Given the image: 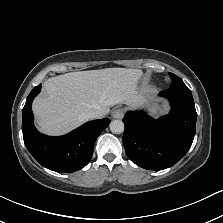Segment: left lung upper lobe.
I'll list each match as a JSON object with an SVG mask.
<instances>
[{
	"instance_id": "left-lung-upper-lobe-1",
	"label": "left lung upper lobe",
	"mask_w": 223,
	"mask_h": 223,
	"mask_svg": "<svg viewBox=\"0 0 223 223\" xmlns=\"http://www.w3.org/2000/svg\"><path fill=\"white\" fill-rule=\"evenodd\" d=\"M169 76L172 80V83L170 84L169 88L177 89V90H189L181 78H179L178 76H176L173 73H169Z\"/></svg>"
}]
</instances>
